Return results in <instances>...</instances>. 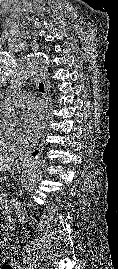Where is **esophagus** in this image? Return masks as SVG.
<instances>
[{
	"label": "esophagus",
	"mask_w": 118,
	"mask_h": 269,
	"mask_svg": "<svg viewBox=\"0 0 118 269\" xmlns=\"http://www.w3.org/2000/svg\"><path fill=\"white\" fill-rule=\"evenodd\" d=\"M40 77L45 83V99L49 103V110H50L52 109V99H51V94H50V81H49V74H48L47 68H44L40 71ZM48 132H49V128H46L45 134H47ZM44 144L45 142L44 140H42V142L37 147L23 154L20 157V160L22 162H28V161L37 159L41 155L44 149Z\"/></svg>",
	"instance_id": "esophagus-1"
}]
</instances>
